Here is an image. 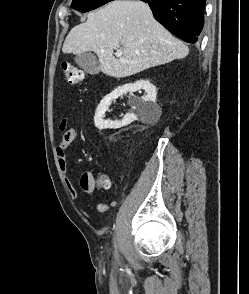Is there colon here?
I'll return each mask as SVG.
<instances>
[{"label":"colon","mask_w":249,"mask_h":294,"mask_svg":"<svg viewBox=\"0 0 249 294\" xmlns=\"http://www.w3.org/2000/svg\"><path fill=\"white\" fill-rule=\"evenodd\" d=\"M60 68L70 84H78L82 82L84 78L83 72L75 65L69 62H63ZM96 184L101 188H109L112 184L111 178L106 174H100L96 179Z\"/></svg>","instance_id":"5ec220e1"}]
</instances>
